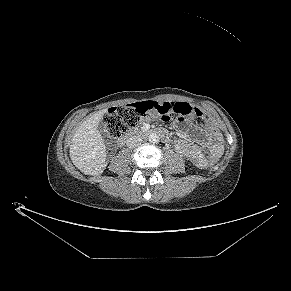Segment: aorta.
Listing matches in <instances>:
<instances>
[{"label":"aorta","mask_w":291,"mask_h":291,"mask_svg":"<svg viewBox=\"0 0 291 291\" xmlns=\"http://www.w3.org/2000/svg\"><path fill=\"white\" fill-rule=\"evenodd\" d=\"M149 142L150 143H158L159 142V136L156 133H152L149 135Z\"/></svg>","instance_id":"1"}]
</instances>
